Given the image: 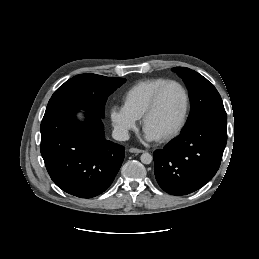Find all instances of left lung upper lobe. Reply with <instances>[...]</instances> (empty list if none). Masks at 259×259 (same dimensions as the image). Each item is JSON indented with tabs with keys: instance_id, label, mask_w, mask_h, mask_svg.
<instances>
[{
	"instance_id": "5c2ea615",
	"label": "left lung upper lobe",
	"mask_w": 259,
	"mask_h": 259,
	"mask_svg": "<svg viewBox=\"0 0 259 259\" xmlns=\"http://www.w3.org/2000/svg\"><path fill=\"white\" fill-rule=\"evenodd\" d=\"M173 71L183 79L189 91L191 111L183 131L205 119H227L221 96L205 77L186 67H176Z\"/></svg>"
}]
</instances>
